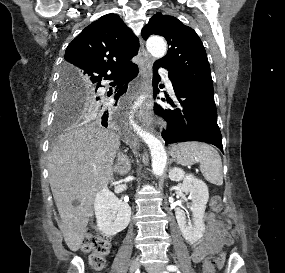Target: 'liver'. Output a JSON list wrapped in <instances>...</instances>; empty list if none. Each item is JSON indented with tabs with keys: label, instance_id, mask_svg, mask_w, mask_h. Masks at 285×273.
<instances>
[{
	"label": "liver",
	"instance_id": "obj_1",
	"mask_svg": "<svg viewBox=\"0 0 285 273\" xmlns=\"http://www.w3.org/2000/svg\"><path fill=\"white\" fill-rule=\"evenodd\" d=\"M119 146L117 134L90 124L69 129L49 152V183L61 217L59 227L74 252L82 245L96 194L112 180Z\"/></svg>",
	"mask_w": 285,
	"mask_h": 273
}]
</instances>
